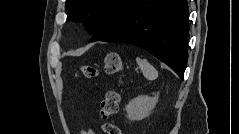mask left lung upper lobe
Here are the masks:
<instances>
[{
  "label": "left lung upper lobe",
  "mask_w": 239,
  "mask_h": 134,
  "mask_svg": "<svg viewBox=\"0 0 239 134\" xmlns=\"http://www.w3.org/2000/svg\"><path fill=\"white\" fill-rule=\"evenodd\" d=\"M125 0H66L68 21L83 22L91 35L103 30L114 19Z\"/></svg>",
  "instance_id": "left-lung-upper-lobe-1"
}]
</instances>
